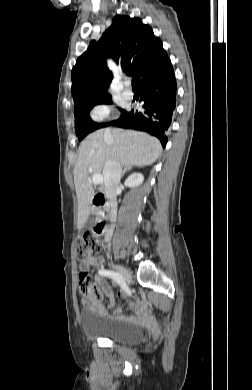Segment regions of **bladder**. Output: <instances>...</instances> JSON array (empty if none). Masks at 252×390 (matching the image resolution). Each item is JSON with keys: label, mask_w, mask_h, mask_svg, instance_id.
<instances>
[{"label": "bladder", "mask_w": 252, "mask_h": 390, "mask_svg": "<svg viewBox=\"0 0 252 390\" xmlns=\"http://www.w3.org/2000/svg\"><path fill=\"white\" fill-rule=\"evenodd\" d=\"M81 324L87 337L105 338L123 346L136 345L144 338L143 328L136 323L103 316L87 317L82 314Z\"/></svg>", "instance_id": "1"}]
</instances>
